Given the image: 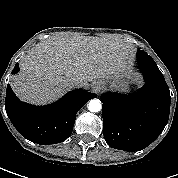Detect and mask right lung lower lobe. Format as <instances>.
Returning <instances> with one entry per match:
<instances>
[{
    "label": "right lung lower lobe",
    "mask_w": 178,
    "mask_h": 178,
    "mask_svg": "<svg viewBox=\"0 0 178 178\" xmlns=\"http://www.w3.org/2000/svg\"><path fill=\"white\" fill-rule=\"evenodd\" d=\"M17 72L18 63L12 74ZM95 97L93 93L77 89L53 104L34 106L21 102L8 84L5 109L10 121L24 138L41 145L56 144L71 135L77 112Z\"/></svg>",
    "instance_id": "right-lung-lower-lobe-1"
}]
</instances>
